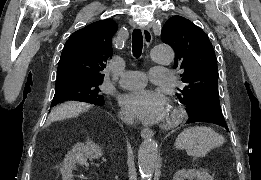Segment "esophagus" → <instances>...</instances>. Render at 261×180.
<instances>
[{
    "mask_svg": "<svg viewBox=\"0 0 261 180\" xmlns=\"http://www.w3.org/2000/svg\"><path fill=\"white\" fill-rule=\"evenodd\" d=\"M142 31H143V37H144L145 43H146L147 47H149L152 43V34L148 27H143ZM153 135H154V132L150 128H143V130H141L142 138H150V137H153Z\"/></svg>",
    "mask_w": 261,
    "mask_h": 180,
    "instance_id": "1",
    "label": "esophagus"
}]
</instances>
